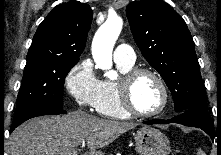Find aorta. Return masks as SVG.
I'll use <instances>...</instances> for the list:
<instances>
[{
  "instance_id": "762f6f07",
  "label": "aorta",
  "mask_w": 221,
  "mask_h": 155,
  "mask_svg": "<svg viewBox=\"0 0 221 155\" xmlns=\"http://www.w3.org/2000/svg\"><path fill=\"white\" fill-rule=\"evenodd\" d=\"M123 21L120 17H111L98 29L92 42V55L99 68L106 71L109 79H115L117 74L112 68V51L122 30Z\"/></svg>"
}]
</instances>
